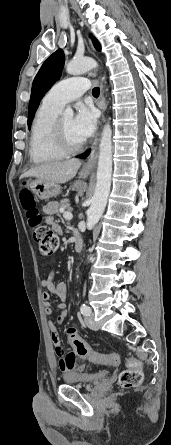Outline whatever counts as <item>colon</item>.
<instances>
[{
  "mask_svg": "<svg viewBox=\"0 0 171 445\" xmlns=\"http://www.w3.org/2000/svg\"><path fill=\"white\" fill-rule=\"evenodd\" d=\"M20 201L26 211L28 223L31 227L33 237L38 244L39 251L43 255H50L56 251L59 245V235L50 226L43 222V218L36 207V200L29 190L20 193ZM68 341L75 353L81 357L100 364H116L118 358L112 353L104 355L94 352L81 339L75 326L68 328ZM143 381V371L140 361L129 358L126 362V369L119 375V384L123 388H133L141 385Z\"/></svg>",
  "mask_w": 171,
  "mask_h": 445,
  "instance_id": "colon-1",
  "label": "colon"
}]
</instances>
